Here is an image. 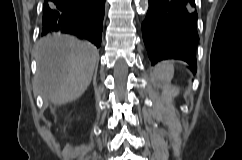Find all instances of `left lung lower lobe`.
<instances>
[{
    "label": "left lung lower lobe",
    "mask_w": 242,
    "mask_h": 160,
    "mask_svg": "<svg viewBox=\"0 0 242 160\" xmlns=\"http://www.w3.org/2000/svg\"><path fill=\"white\" fill-rule=\"evenodd\" d=\"M197 18L195 0H149L142 32L152 65L179 59L196 72Z\"/></svg>",
    "instance_id": "0a47b994"
}]
</instances>
